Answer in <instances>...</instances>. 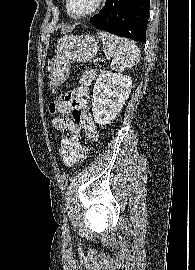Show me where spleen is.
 I'll return each instance as SVG.
<instances>
[{"label": "spleen", "instance_id": "1", "mask_svg": "<svg viewBox=\"0 0 195 270\" xmlns=\"http://www.w3.org/2000/svg\"><path fill=\"white\" fill-rule=\"evenodd\" d=\"M99 35L104 45L106 58H112L113 70L124 71L139 62L140 50L133 41L105 31L99 32Z\"/></svg>", "mask_w": 195, "mask_h": 270}]
</instances>
